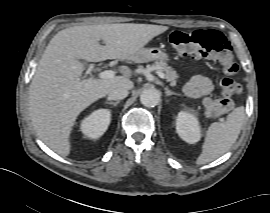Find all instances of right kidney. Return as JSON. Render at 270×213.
Segmentation results:
<instances>
[{
	"mask_svg": "<svg viewBox=\"0 0 270 213\" xmlns=\"http://www.w3.org/2000/svg\"><path fill=\"white\" fill-rule=\"evenodd\" d=\"M111 120L109 109H99L94 111L82 122L80 129L82 133L91 139H97L107 130Z\"/></svg>",
	"mask_w": 270,
	"mask_h": 213,
	"instance_id": "ca27d5eb",
	"label": "right kidney"
}]
</instances>
